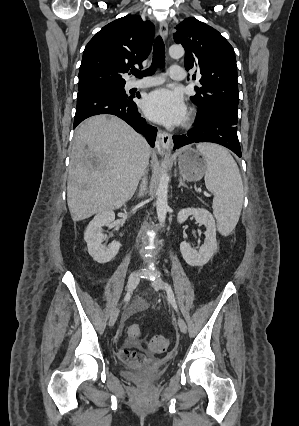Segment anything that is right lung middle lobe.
<instances>
[{"instance_id":"1","label":"right lung middle lobe","mask_w":299,"mask_h":426,"mask_svg":"<svg viewBox=\"0 0 299 426\" xmlns=\"http://www.w3.org/2000/svg\"><path fill=\"white\" fill-rule=\"evenodd\" d=\"M124 85L125 84H118V85H93V86H85V87H78V90H82V89H100V90H107V91H111L114 93H117L119 95L125 96L127 97L125 90H124Z\"/></svg>"}]
</instances>
